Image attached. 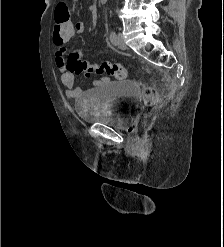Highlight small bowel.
Masks as SVG:
<instances>
[{"label":"small bowel","instance_id":"small-bowel-1","mask_svg":"<svg viewBox=\"0 0 224 247\" xmlns=\"http://www.w3.org/2000/svg\"><path fill=\"white\" fill-rule=\"evenodd\" d=\"M85 27L86 22L83 20L74 23V36L82 33ZM69 41L70 39H62L53 34V44L57 48L55 52V65L60 74L61 84L66 88V96L68 98H75L81 93V90L74 86L77 76L69 71L67 67L66 51ZM106 82H108V78L103 77L100 80L95 81V84L98 85Z\"/></svg>","mask_w":224,"mask_h":247}]
</instances>
